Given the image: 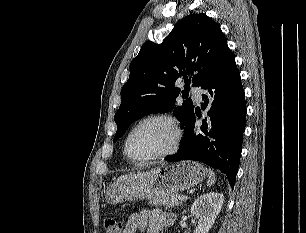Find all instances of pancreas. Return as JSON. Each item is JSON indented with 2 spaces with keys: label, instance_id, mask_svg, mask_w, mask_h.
Instances as JSON below:
<instances>
[{
  "label": "pancreas",
  "instance_id": "cf45deb5",
  "mask_svg": "<svg viewBox=\"0 0 306 233\" xmlns=\"http://www.w3.org/2000/svg\"><path fill=\"white\" fill-rule=\"evenodd\" d=\"M182 196L183 195L181 194H173L170 196L154 198L149 201V204L154 206L164 205L170 208H174L175 206H180L182 204L183 201L180 199Z\"/></svg>",
  "mask_w": 306,
  "mask_h": 233
}]
</instances>
